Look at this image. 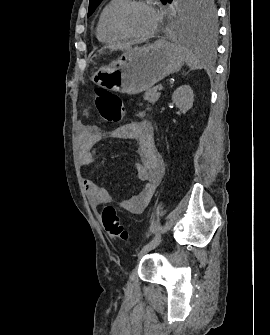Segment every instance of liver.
Listing matches in <instances>:
<instances>
[{
  "label": "liver",
  "mask_w": 270,
  "mask_h": 335,
  "mask_svg": "<svg viewBox=\"0 0 270 335\" xmlns=\"http://www.w3.org/2000/svg\"><path fill=\"white\" fill-rule=\"evenodd\" d=\"M131 44H122L121 48H126V50H128V52H131V50H133V48H130Z\"/></svg>",
  "instance_id": "obj_1"
}]
</instances>
